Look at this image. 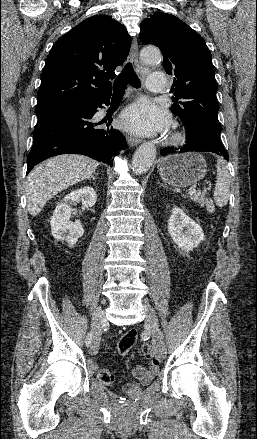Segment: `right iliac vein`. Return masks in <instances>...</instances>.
Returning <instances> with one entry per match:
<instances>
[{"label":"right iliac vein","mask_w":257,"mask_h":439,"mask_svg":"<svg viewBox=\"0 0 257 439\" xmlns=\"http://www.w3.org/2000/svg\"><path fill=\"white\" fill-rule=\"evenodd\" d=\"M105 322V314L102 310L98 309L94 312L92 317V328H93V337L91 340V354H95L100 345L101 340V332H102V325Z\"/></svg>","instance_id":"right-iliac-vein-1"}]
</instances>
